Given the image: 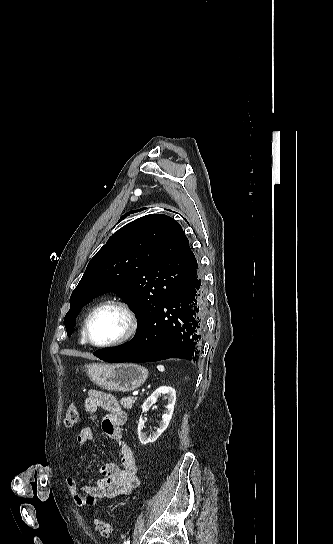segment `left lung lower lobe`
I'll list each match as a JSON object with an SVG mask.
<instances>
[{"label":"left lung lower lobe","instance_id":"left-lung-lower-lobe-1","mask_svg":"<svg viewBox=\"0 0 333 544\" xmlns=\"http://www.w3.org/2000/svg\"><path fill=\"white\" fill-rule=\"evenodd\" d=\"M205 312L203 274L197 265L153 315L139 324L128 343L93 354L106 362H153L172 357L195 361L202 343Z\"/></svg>","mask_w":333,"mask_h":544}]
</instances>
